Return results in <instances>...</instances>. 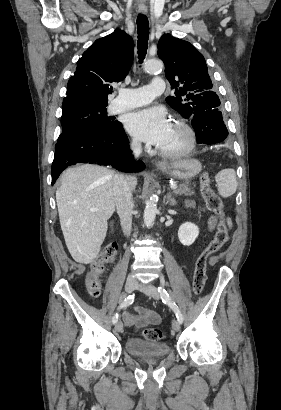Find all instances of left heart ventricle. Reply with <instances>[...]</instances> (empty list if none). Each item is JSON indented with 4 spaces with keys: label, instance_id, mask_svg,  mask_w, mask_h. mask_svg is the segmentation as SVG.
Listing matches in <instances>:
<instances>
[{
    "label": "left heart ventricle",
    "instance_id": "1",
    "mask_svg": "<svg viewBox=\"0 0 281 410\" xmlns=\"http://www.w3.org/2000/svg\"><path fill=\"white\" fill-rule=\"evenodd\" d=\"M186 143L187 136L185 132L175 124L171 123L170 130L163 143L159 145V148L166 151H177L183 148Z\"/></svg>",
    "mask_w": 281,
    "mask_h": 410
}]
</instances>
